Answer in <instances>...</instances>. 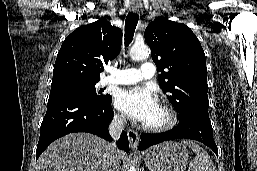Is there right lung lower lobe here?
Returning <instances> with one entry per match:
<instances>
[{
	"label": "right lung lower lobe",
	"instance_id": "obj_1",
	"mask_svg": "<svg viewBox=\"0 0 257 171\" xmlns=\"http://www.w3.org/2000/svg\"><path fill=\"white\" fill-rule=\"evenodd\" d=\"M112 97L97 101L82 95H61L49 97L47 112L41 124L36 160L56 139L73 132H88L111 141L108 124L113 118ZM119 149L129 152L125 132L117 142Z\"/></svg>",
	"mask_w": 257,
	"mask_h": 171
}]
</instances>
